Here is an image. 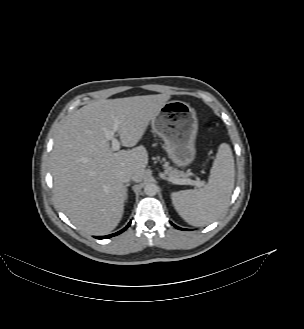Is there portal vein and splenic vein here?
I'll list each match as a JSON object with an SVG mask.
<instances>
[{"label": "portal vein and splenic vein", "mask_w": 304, "mask_h": 329, "mask_svg": "<svg viewBox=\"0 0 304 329\" xmlns=\"http://www.w3.org/2000/svg\"><path fill=\"white\" fill-rule=\"evenodd\" d=\"M118 130V125L116 124L113 128V130H108L105 131V137L107 140L111 141V145H112V150L113 151H118L120 149V142L119 140L116 138L115 132H117ZM168 181L174 183V184H180V185H194L198 188L204 186V182L203 181H195L192 179H177V178H172V177H168L167 178Z\"/></svg>", "instance_id": "1"}]
</instances>
